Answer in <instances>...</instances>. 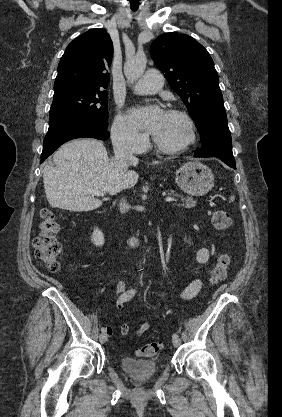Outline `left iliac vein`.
<instances>
[{"label": "left iliac vein", "mask_w": 282, "mask_h": 417, "mask_svg": "<svg viewBox=\"0 0 282 417\" xmlns=\"http://www.w3.org/2000/svg\"><path fill=\"white\" fill-rule=\"evenodd\" d=\"M173 345L174 347H178L181 344V340L179 338L173 339Z\"/></svg>", "instance_id": "1"}]
</instances>
